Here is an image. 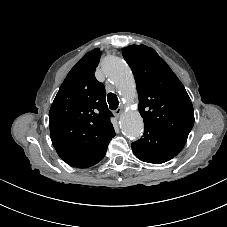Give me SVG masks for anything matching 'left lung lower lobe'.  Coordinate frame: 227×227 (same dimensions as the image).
<instances>
[{"mask_svg":"<svg viewBox=\"0 0 227 227\" xmlns=\"http://www.w3.org/2000/svg\"><path fill=\"white\" fill-rule=\"evenodd\" d=\"M186 141L156 128L146 127L143 137L132 143L135 156L147 163L160 164L175 157Z\"/></svg>","mask_w":227,"mask_h":227,"instance_id":"1","label":"left lung lower lobe"}]
</instances>
